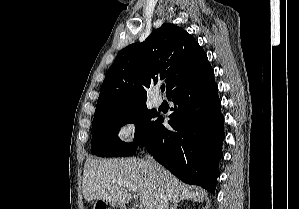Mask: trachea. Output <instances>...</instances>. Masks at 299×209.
<instances>
[{"label":"trachea","instance_id":"1","mask_svg":"<svg viewBox=\"0 0 299 209\" xmlns=\"http://www.w3.org/2000/svg\"><path fill=\"white\" fill-rule=\"evenodd\" d=\"M161 91L164 92L165 91V85L161 86Z\"/></svg>","mask_w":299,"mask_h":209}]
</instances>
